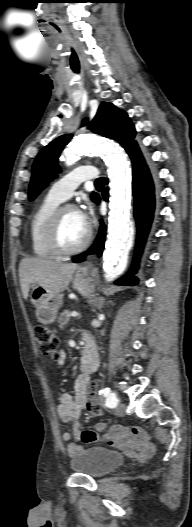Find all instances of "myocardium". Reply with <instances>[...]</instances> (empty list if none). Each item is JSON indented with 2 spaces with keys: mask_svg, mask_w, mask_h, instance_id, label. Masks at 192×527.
Masks as SVG:
<instances>
[{
  "mask_svg": "<svg viewBox=\"0 0 192 527\" xmlns=\"http://www.w3.org/2000/svg\"><path fill=\"white\" fill-rule=\"evenodd\" d=\"M69 210L76 211L72 205H64L57 208L54 212L47 231V242L50 249L59 256H71L82 252L91 242L92 231L87 229V234L83 241L75 247L66 248L60 242V226L64 213Z\"/></svg>",
  "mask_w": 192,
  "mask_h": 527,
  "instance_id": "obj_1",
  "label": "myocardium"
}]
</instances>
